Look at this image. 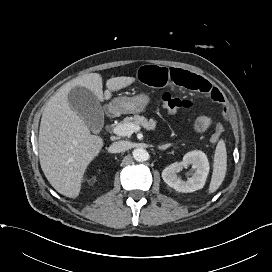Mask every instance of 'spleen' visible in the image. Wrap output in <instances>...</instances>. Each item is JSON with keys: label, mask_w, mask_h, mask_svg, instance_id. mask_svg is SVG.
<instances>
[{"label": "spleen", "mask_w": 272, "mask_h": 272, "mask_svg": "<svg viewBox=\"0 0 272 272\" xmlns=\"http://www.w3.org/2000/svg\"><path fill=\"white\" fill-rule=\"evenodd\" d=\"M227 170V152L224 140H219L216 146L213 174L209 185V193H214L222 184Z\"/></svg>", "instance_id": "obj_1"}]
</instances>
